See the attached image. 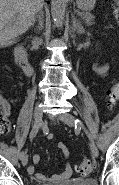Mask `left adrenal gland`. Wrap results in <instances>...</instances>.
<instances>
[{
	"mask_svg": "<svg viewBox=\"0 0 119 185\" xmlns=\"http://www.w3.org/2000/svg\"><path fill=\"white\" fill-rule=\"evenodd\" d=\"M73 29L77 32L78 35L84 33V28L81 21L77 20L74 15H72Z\"/></svg>",
	"mask_w": 119,
	"mask_h": 185,
	"instance_id": "left-adrenal-gland-1",
	"label": "left adrenal gland"
}]
</instances>
